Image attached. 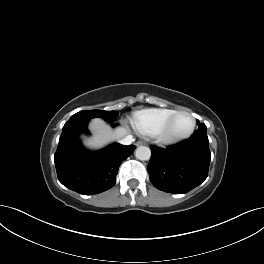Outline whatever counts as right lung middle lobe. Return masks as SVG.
<instances>
[{"mask_svg": "<svg viewBox=\"0 0 264 264\" xmlns=\"http://www.w3.org/2000/svg\"><path fill=\"white\" fill-rule=\"evenodd\" d=\"M118 112L116 111H104V110H83L74 114L72 117H82V118H94L101 117L105 121L114 122L117 118Z\"/></svg>", "mask_w": 264, "mask_h": 264, "instance_id": "obj_1", "label": "right lung middle lobe"}]
</instances>
